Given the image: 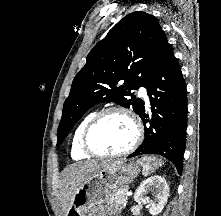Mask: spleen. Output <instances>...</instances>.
Returning <instances> with one entry per match:
<instances>
[{"mask_svg": "<svg viewBox=\"0 0 221 216\" xmlns=\"http://www.w3.org/2000/svg\"><path fill=\"white\" fill-rule=\"evenodd\" d=\"M138 163L142 166V173L144 176L150 175L155 169L162 166L161 160L153 156H144L138 160Z\"/></svg>", "mask_w": 221, "mask_h": 216, "instance_id": "1", "label": "spleen"}]
</instances>
